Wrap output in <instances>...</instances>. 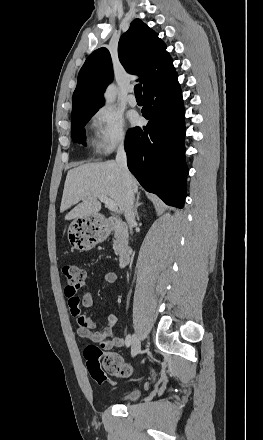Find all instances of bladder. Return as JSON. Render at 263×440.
I'll return each mask as SVG.
<instances>
[{
    "label": "bladder",
    "instance_id": "1",
    "mask_svg": "<svg viewBox=\"0 0 263 440\" xmlns=\"http://www.w3.org/2000/svg\"><path fill=\"white\" fill-rule=\"evenodd\" d=\"M142 394V390L140 388H133L121 396V399L124 401H134L137 400Z\"/></svg>",
    "mask_w": 263,
    "mask_h": 440
}]
</instances>
